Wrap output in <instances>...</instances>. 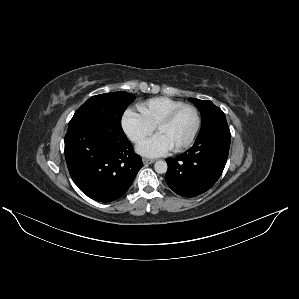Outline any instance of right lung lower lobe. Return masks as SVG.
Masks as SVG:
<instances>
[{"label": "right lung lower lobe", "mask_w": 299, "mask_h": 299, "mask_svg": "<svg viewBox=\"0 0 299 299\" xmlns=\"http://www.w3.org/2000/svg\"><path fill=\"white\" fill-rule=\"evenodd\" d=\"M65 159L75 184L99 202L121 197L143 166L125 134L97 125L68 127Z\"/></svg>", "instance_id": "obj_1"}]
</instances>
